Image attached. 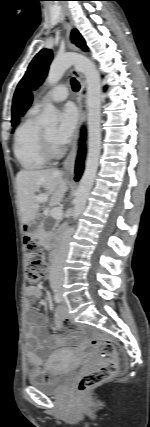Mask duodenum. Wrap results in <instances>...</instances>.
Instances as JSON below:
<instances>
[{
	"label": "duodenum",
	"mask_w": 150,
	"mask_h": 427,
	"mask_svg": "<svg viewBox=\"0 0 150 427\" xmlns=\"http://www.w3.org/2000/svg\"><path fill=\"white\" fill-rule=\"evenodd\" d=\"M56 258H57V255H56L55 253H54V254H52V256H51V263H52V264H54V263H55Z\"/></svg>",
	"instance_id": "obj_1"
}]
</instances>
